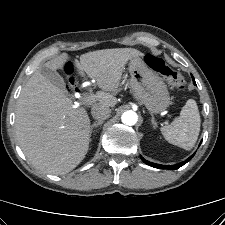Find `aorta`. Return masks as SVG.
<instances>
[{
	"mask_svg": "<svg viewBox=\"0 0 225 225\" xmlns=\"http://www.w3.org/2000/svg\"><path fill=\"white\" fill-rule=\"evenodd\" d=\"M121 120L125 125L132 126L137 123L138 115L136 112L129 110L122 114Z\"/></svg>",
	"mask_w": 225,
	"mask_h": 225,
	"instance_id": "762f6f07",
	"label": "aorta"
}]
</instances>
